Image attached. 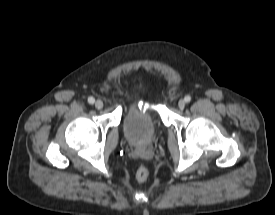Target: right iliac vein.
<instances>
[{
    "label": "right iliac vein",
    "mask_w": 275,
    "mask_h": 215,
    "mask_svg": "<svg viewBox=\"0 0 275 215\" xmlns=\"http://www.w3.org/2000/svg\"><path fill=\"white\" fill-rule=\"evenodd\" d=\"M103 106H104V104H103V102H102L101 100H97V101L95 102V107H96L97 109H102Z\"/></svg>",
    "instance_id": "63e3f726"
}]
</instances>
